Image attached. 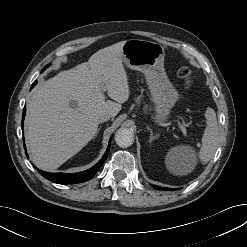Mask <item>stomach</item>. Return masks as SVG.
<instances>
[{
  "label": "stomach",
  "instance_id": "stomach-1",
  "mask_svg": "<svg viewBox=\"0 0 247 247\" xmlns=\"http://www.w3.org/2000/svg\"><path fill=\"white\" fill-rule=\"evenodd\" d=\"M164 56L165 51L161 44L147 40H126L122 48L123 63L145 75L158 122L167 119L171 108L179 99L177 90L164 70Z\"/></svg>",
  "mask_w": 247,
  "mask_h": 247
}]
</instances>
